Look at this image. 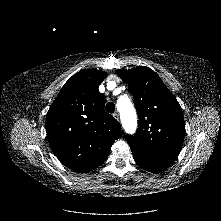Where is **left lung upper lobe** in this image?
I'll return each mask as SVG.
<instances>
[{"label": "left lung upper lobe", "mask_w": 221, "mask_h": 221, "mask_svg": "<svg viewBox=\"0 0 221 221\" xmlns=\"http://www.w3.org/2000/svg\"><path fill=\"white\" fill-rule=\"evenodd\" d=\"M117 73L129 86L139 118L135 135L126 136L130 148L154 159L173 162L185 136L184 116L178 101L148 67Z\"/></svg>", "instance_id": "obj_1"}]
</instances>
